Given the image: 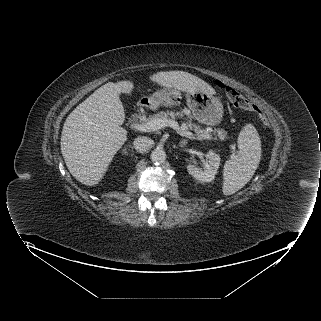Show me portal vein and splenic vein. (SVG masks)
Returning <instances> with one entry per match:
<instances>
[{
	"mask_svg": "<svg viewBox=\"0 0 321 321\" xmlns=\"http://www.w3.org/2000/svg\"><path fill=\"white\" fill-rule=\"evenodd\" d=\"M172 127L177 131L178 134L181 136L188 137L190 139H197V140H205V139H211L212 136L210 134L204 133V134H193L190 131H187L185 129H181L176 121L173 120H167V119H155L151 120L145 124H133L132 128L141 131V132H152L159 129H162L164 127ZM234 149V147H232Z\"/></svg>",
	"mask_w": 321,
	"mask_h": 321,
	"instance_id": "1",
	"label": "portal vein and splenic vein"
}]
</instances>
